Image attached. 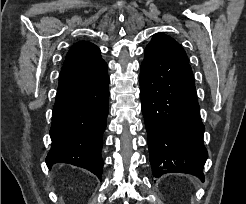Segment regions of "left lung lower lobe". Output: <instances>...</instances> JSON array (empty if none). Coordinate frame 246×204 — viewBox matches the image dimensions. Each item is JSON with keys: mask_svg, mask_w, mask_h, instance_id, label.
Segmentation results:
<instances>
[{"mask_svg": "<svg viewBox=\"0 0 246 204\" xmlns=\"http://www.w3.org/2000/svg\"><path fill=\"white\" fill-rule=\"evenodd\" d=\"M139 83L153 175L187 173L204 181L205 127L188 61L146 47Z\"/></svg>", "mask_w": 246, "mask_h": 204, "instance_id": "obj_1", "label": "left lung lower lobe"}]
</instances>
